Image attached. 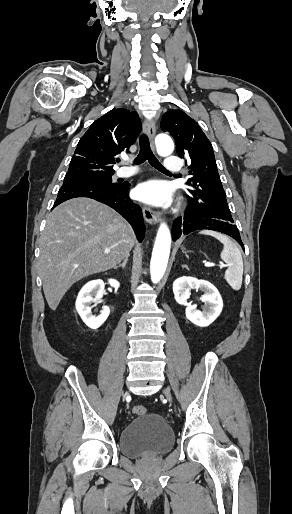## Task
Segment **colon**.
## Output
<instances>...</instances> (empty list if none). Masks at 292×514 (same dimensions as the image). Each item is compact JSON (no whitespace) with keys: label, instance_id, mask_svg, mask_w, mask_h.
<instances>
[{"label":"colon","instance_id":"1","mask_svg":"<svg viewBox=\"0 0 292 514\" xmlns=\"http://www.w3.org/2000/svg\"><path fill=\"white\" fill-rule=\"evenodd\" d=\"M132 411H133V413H134L135 415L140 416V417L145 416V415L147 414V412H148L145 406H143V405H138V404H137V405H134V406L132 407Z\"/></svg>","mask_w":292,"mask_h":514}]
</instances>
